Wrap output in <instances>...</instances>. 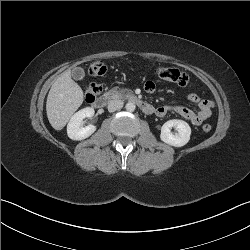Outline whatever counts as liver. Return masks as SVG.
<instances>
[{
  "label": "liver",
  "mask_w": 250,
  "mask_h": 250,
  "mask_svg": "<svg viewBox=\"0 0 250 250\" xmlns=\"http://www.w3.org/2000/svg\"><path fill=\"white\" fill-rule=\"evenodd\" d=\"M83 90L72 80L71 71H64L53 83L48 93L46 112L49 123L61 130L73 113L83 103Z\"/></svg>",
  "instance_id": "liver-1"
}]
</instances>
